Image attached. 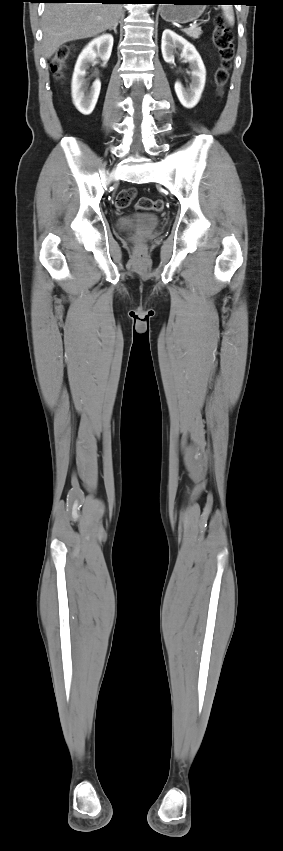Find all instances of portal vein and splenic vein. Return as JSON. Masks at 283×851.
I'll use <instances>...</instances> for the list:
<instances>
[{
    "mask_svg": "<svg viewBox=\"0 0 283 851\" xmlns=\"http://www.w3.org/2000/svg\"><path fill=\"white\" fill-rule=\"evenodd\" d=\"M195 27H197V24H193L191 28H195Z\"/></svg>",
    "mask_w": 283,
    "mask_h": 851,
    "instance_id": "1",
    "label": "portal vein and splenic vein"
}]
</instances>
